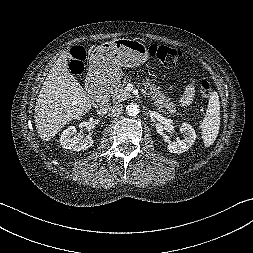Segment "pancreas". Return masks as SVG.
<instances>
[{"mask_svg": "<svg viewBox=\"0 0 253 253\" xmlns=\"http://www.w3.org/2000/svg\"><path fill=\"white\" fill-rule=\"evenodd\" d=\"M126 84L127 80H123L114 87L111 95L113 102H122L131 97V94L125 88ZM144 86L148 91V97L154 102L157 107L169 112L170 114H174L176 112L175 104L171 102V99L169 97H166L164 93H162L156 84L151 83L147 79L146 82H144Z\"/></svg>", "mask_w": 253, "mask_h": 253, "instance_id": "1", "label": "pancreas"}]
</instances>
